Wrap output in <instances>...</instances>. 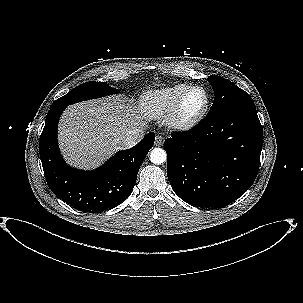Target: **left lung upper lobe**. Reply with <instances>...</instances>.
I'll return each instance as SVG.
<instances>
[{
	"label": "left lung upper lobe",
	"mask_w": 303,
	"mask_h": 303,
	"mask_svg": "<svg viewBox=\"0 0 303 303\" xmlns=\"http://www.w3.org/2000/svg\"><path fill=\"white\" fill-rule=\"evenodd\" d=\"M215 93L213 105L206 117L245 109H256L248 93L220 76L208 78Z\"/></svg>",
	"instance_id": "obj_1"
}]
</instances>
